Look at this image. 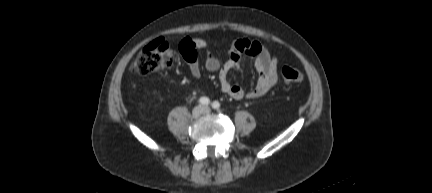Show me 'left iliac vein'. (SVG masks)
Here are the masks:
<instances>
[{
	"instance_id": "obj_1",
	"label": "left iliac vein",
	"mask_w": 432,
	"mask_h": 193,
	"mask_svg": "<svg viewBox=\"0 0 432 193\" xmlns=\"http://www.w3.org/2000/svg\"><path fill=\"white\" fill-rule=\"evenodd\" d=\"M210 112H211V110L209 107H204V113H210Z\"/></svg>"
}]
</instances>
